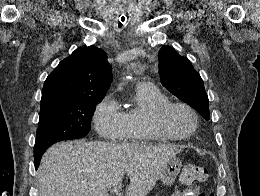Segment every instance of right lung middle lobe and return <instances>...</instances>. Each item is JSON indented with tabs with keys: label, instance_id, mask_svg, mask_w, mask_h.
<instances>
[{
	"label": "right lung middle lobe",
	"instance_id": "right-lung-middle-lobe-1",
	"mask_svg": "<svg viewBox=\"0 0 260 196\" xmlns=\"http://www.w3.org/2000/svg\"><path fill=\"white\" fill-rule=\"evenodd\" d=\"M103 97H85L41 106L34 150L62 140L85 137L96 105Z\"/></svg>",
	"mask_w": 260,
	"mask_h": 196
}]
</instances>
